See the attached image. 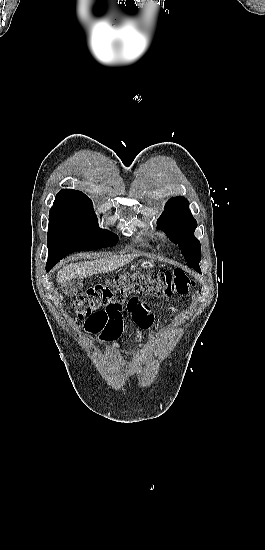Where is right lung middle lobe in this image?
Segmentation results:
<instances>
[{
	"instance_id": "right-lung-middle-lobe-1",
	"label": "right lung middle lobe",
	"mask_w": 265,
	"mask_h": 550,
	"mask_svg": "<svg viewBox=\"0 0 265 550\" xmlns=\"http://www.w3.org/2000/svg\"><path fill=\"white\" fill-rule=\"evenodd\" d=\"M48 262L54 266L75 251L114 246L116 234L100 229L89 198L76 202L54 203L47 233Z\"/></svg>"
}]
</instances>
